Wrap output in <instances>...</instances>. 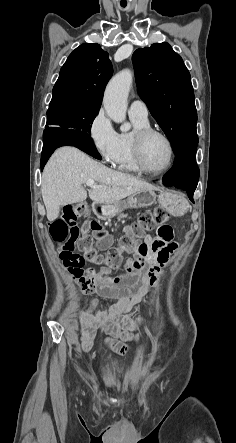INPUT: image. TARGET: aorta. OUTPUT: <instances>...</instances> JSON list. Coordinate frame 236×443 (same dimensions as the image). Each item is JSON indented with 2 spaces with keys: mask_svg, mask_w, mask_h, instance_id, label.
Listing matches in <instances>:
<instances>
[{
  "mask_svg": "<svg viewBox=\"0 0 236 443\" xmlns=\"http://www.w3.org/2000/svg\"><path fill=\"white\" fill-rule=\"evenodd\" d=\"M133 74L129 69H124L116 74L108 83L103 105L107 115L116 123H120V130L127 132L131 125L125 121L127 111V99L132 85Z\"/></svg>",
  "mask_w": 236,
  "mask_h": 443,
  "instance_id": "1",
  "label": "aorta"
}]
</instances>
